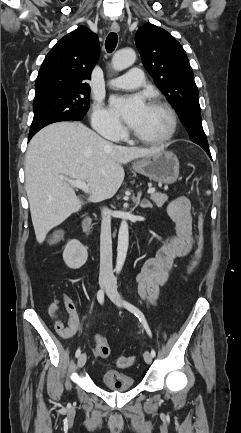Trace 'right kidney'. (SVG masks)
Returning a JSON list of instances; mask_svg holds the SVG:
<instances>
[{
	"mask_svg": "<svg viewBox=\"0 0 241 433\" xmlns=\"http://www.w3.org/2000/svg\"><path fill=\"white\" fill-rule=\"evenodd\" d=\"M88 258L87 248L78 240L69 241L63 252V260L70 269H79L82 267Z\"/></svg>",
	"mask_w": 241,
	"mask_h": 433,
	"instance_id": "right-kidney-1",
	"label": "right kidney"
}]
</instances>
